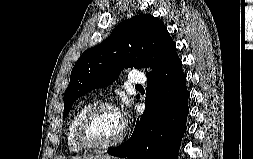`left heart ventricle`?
Returning a JSON list of instances; mask_svg holds the SVG:
<instances>
[{
    "label": "left heart ventricle",
    "instance_id": "b2bd125f",
    "mask_svg": "<svg viewBox=\"0 0 253 159\" xmlns=\"http://www.w3.org/2000/svg\"><path fill=\"white\" fill-rule=\"evenodd\" d=\"M123 121L118 110L104 109L91 121L89 135L98 143L115 139L123 130Z\"/></svg>",
    "mask_w": 253,
    "mask_h": 159
}]
</instances>
